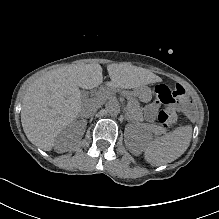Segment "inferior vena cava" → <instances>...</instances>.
Instances as JSON below:
<instances>
[{
    "instance_id": "inferior-vena-cava-1",
    "label": "inferior vena cava",
    "mask_w": 219,
    "mask_h": 219,
    "mask_svg": "<svg viewBox=\"0 0 219 219\" xmlns=\"http://www.w3.org/2000/svg\"><path fill=\"white\" fill-rule=\"evenodd\" d=\"M81 115L84 116V117H91L93 114H94V107L91 105V104H84L82 107H81Z\"/></svg>"
}]
</instances>
